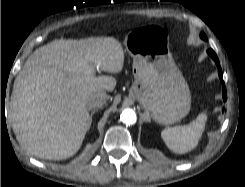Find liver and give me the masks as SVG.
Masks as SVG:
<instances>
[{"label": "liver", "instance_id": "liver-1", "mask_svg": "<svg viewBox=\"0 0 245 187\" xmlns=\"http://www.w3.org/2000/svg\"><path fill=\"white\" fill-rule=\"evenodd\" d=\"M124 64L121 43L113 37L57 39L36 49L17 75L10 119L20 145L47 160L73 156L90 125L88 97L113 91L112 76Z\"/></svg>", "mask_w": 245, "mask_h": 187}]
</instances>
